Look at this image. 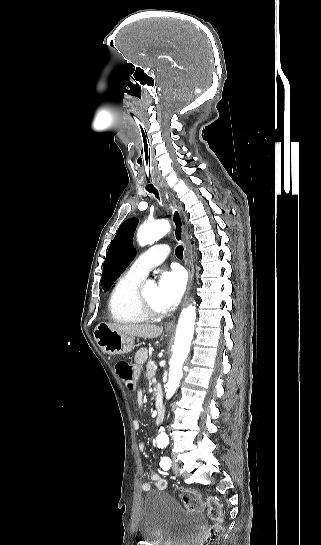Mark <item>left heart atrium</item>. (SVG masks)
<instances>
[{
	"label": "left heart atrium",
	"mask_w": 321,
	"mask_h": 545,
	"mask_svg": "<svg viewBox=\"0 0 321 545\" xmlns=\"http://www.w3.org/2000/svg\"><path fill=\"white\" fill-rule=\"evenodd\" d=\"M186 286V278L181 269L163 271L159 275L156 290V304L161 312L167 313L175 308Z\"/></svg>",
	"instance_id": "39dd6f15"
}]
</instances>
